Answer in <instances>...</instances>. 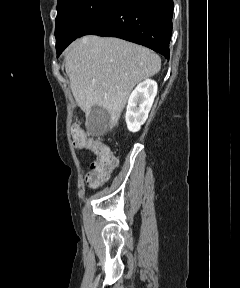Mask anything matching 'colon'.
I'll return each mask as SVG.
<instances>
[{"label": "colon", "mask_w": 240, "mask_h": 288, "mask_svg": "<svg viewBox=\"0 0 240 288\" xmlns=\"http://www.w3.org/2000/svg\"><path fill=\"white\" fill-rule=\"evenodd\" d=\"M71 134L76 147L89 149L94 153L95 159L87 173L86 184L91 188L99 187L108 180L115 168L117 164L115 156L106 144L88 138L81 127L73 126Z\"/></svg>", "instance_id": "1"}]
</instances>
